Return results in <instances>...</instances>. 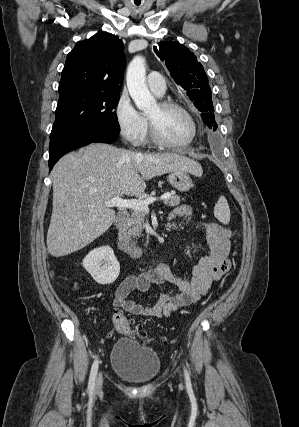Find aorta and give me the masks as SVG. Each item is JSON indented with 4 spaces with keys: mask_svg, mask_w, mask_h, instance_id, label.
<instances>
[{
    "mask_svg": "<svg viewBox=\"0 0 299 427\" xmlns=\"http://www.w3.org/2000/svg\"><path fill=\"white\" fill-rule=\"evenodd\" d=\"M145 73V59L135 56L128 66L127 87L136 107L147 112L156 107V101L146 85Z\"/></svg>",
    "mask_w": 299,
    "mask_h": 427,
    "instance_id": "aorta-1",
    "label": "aorta"
}]
</instances>
